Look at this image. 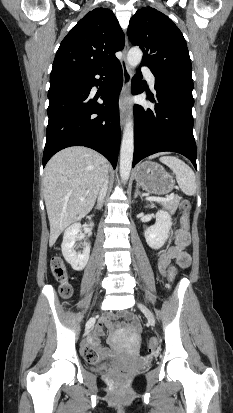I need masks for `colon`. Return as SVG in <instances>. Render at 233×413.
I'll return each mask as SVG.
<instances>
[{
  "label": "colon",
  "mask_w": 233,
  "mask_h": 413,
  "mask_svg": "<svg viewBox=\"0 0 233 413\" xmlns=\"http://www.w3.org/2000/svg\"><path fill=\"white\" fill-rule=\"evenodd\" d=\"M181 209V231L185 234H188L189 228V210H190V203L188 200H182L180 203ZM52 272L55 278L60 282V292L64 298H69L72 294V286L68 282L67 272L64 267V264L61 259L55 258L51 264ZM175 277V270L172 268L168 271V278L169 280H173ZM157 346L155 340H149L148 348L149 350H154ZM87 358L91 361H97L98 357L94 354L87 355Z\"/></svg>",
  "instance_id": "5ec220e1"
}]
</instances>
